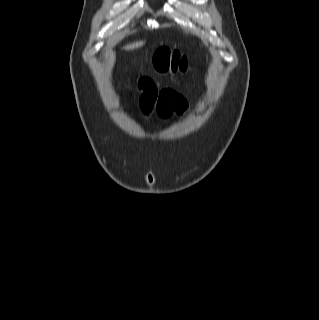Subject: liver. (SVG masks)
I'll use <instances>...</instances> for the list:
<instances>
[{
	"label": "liver",
	"mask_w": 319,
	"mask_h": 320,
	"mask_svg": "<svg viewBox=\"0 0 319 320\" xmlns=\"http://www.w3.org/2000/svg\"><path fill=\"white\" fill-rule=\"evenodd\" d=\"M145 43V41H137L131 44H128L126 46L123 47V49L125 50H134L136 48L141 47L143 44Z\"/></svg>",
	"instance_id": "6515ba94"
}]
</instances>
